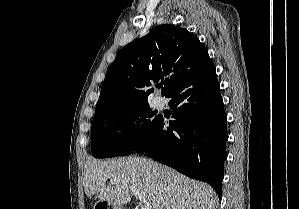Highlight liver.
Masks as SVG:
<instances>
[{
  "label": "liver",
  "mask_w": 299,
  "mask_h": 209,
  "mask_svg": "<svg viewBox=\"0 0 299 209\" xmlns=\"http://www.w3.org/2000/svg\"><path fill=\"white\" fill-rule=\"evenodd\" d=\"M108 179L117 183L106 186ZM83 186L87 196L97 194L114 207L127 204L132 190L145 196L152 209H214L218 202L210 185L142 157L90 160L85 164Z\"/></svg>",
  "instance_id": "liver-1"
}]
</instances>
